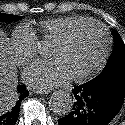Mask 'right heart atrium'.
I'll return each mask as SVG.
<instances>
[{
    "label": "right heart atrium",
    "mask_w": 125,
    "mask_h": 125,
    "mask_svg": "<svg viewBox=\"0 0 125 125\" xmlns=\"http://www.w3.org/2000/svg\"><path fill=\"white\" fill-rule=\"evenodd\" d=\"M38 38L28 25L16 27L9 41V49L17 65H24L38 52Z\"/></svg>",
    "instance_id": "1"
}]
</instances>
